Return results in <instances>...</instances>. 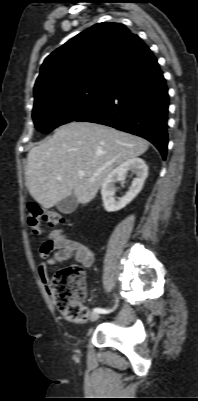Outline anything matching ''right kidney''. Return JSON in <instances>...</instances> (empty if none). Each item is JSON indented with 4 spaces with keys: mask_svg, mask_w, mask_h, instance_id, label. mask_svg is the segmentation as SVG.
Instances as JSON below:
<instances>
[{
    "mask_svg": "<svg viewBox=\"0 0 198 401\" xmlns=\"http://www.w3.org/2000/svg\"><path fill=\"white\" fill-rule=\"evenodd\" d=\"M128 171L136 174L128 192L122 198L115 199V185L118 181H124ZM148 176V166L141 158L129 159L116 167L104 180L101 188L104 208L107 212H114L124 208L142 190Z\"/></svg>",
    "mask_w": 198,
    "mask_h": 401,
    "instance_id": "ca27d5eb",
    "label": "right kidney"
}]
</instances>
